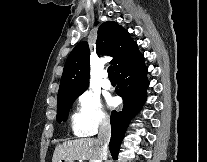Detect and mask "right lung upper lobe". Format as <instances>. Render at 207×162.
I'll return each instance as SVG.
<instances>
[{
	"label": "right lung upper lobe",
	"mask_w": 207,
	"mask_h": 162,
	"mask_svg": "<svg viewBox=\"0 0 207 162\" xmlns=\"http://www.w3.org/2000/svg\"><path fill=\"white\" fill-rule=\"evenodd\" d=\"M98 54L113 57L110 63L115 72L123 68L141 54L129 33L116 22L108 21L98 29L96 41ZM89 47L87 42L79 43L68 56L63 70L58 99L68 96H79L89 83Z\"/></svg>",
	"instance_id": "obj_1"
}]
</instances>
